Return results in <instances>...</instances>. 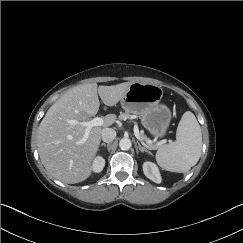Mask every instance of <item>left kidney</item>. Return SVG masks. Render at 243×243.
<instances>
[{"instance_id": "left-kidney-1", "label": "left kidney", "mask_w": 243, "mask_h": 243, "mask_svg": "<svg viewBox=\"0 0 243 243\" xmlns=\"http://www.w3.org/2000/svg\"><path fill=\"white\" fill-rule=\"evenodd\" d=\"M143 171L147 178L152 180L155 183L161 182V176L158 170V167L152 162H145L143 164Z\"/></svg>"}]
</instances>
